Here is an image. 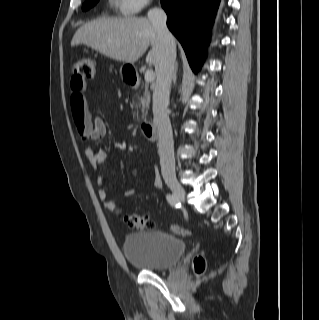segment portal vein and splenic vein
I'll list each match as a JSON object with an SVG mask.
<instances>
[{"instance_id": "portal-vein-and-splenic-vein-1", "label": "portal vein and splenic vein", "mask_w": 319, "mask_h": 320, "mask_svg": "<svg viewBox=\"0 0 319 320\" xmlns=\"http://www.w3.org/2000/svg\"><path fill=\"white\" fill-rule=\"evenodd\" d=\"M154 79H155V74H154L153 70L152 69H148L145 72V81L146 82H152Z\"/></svg>"}]
</instances>
